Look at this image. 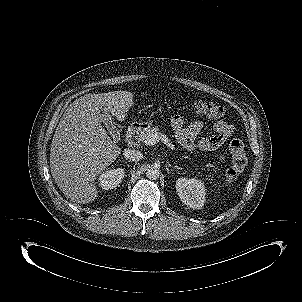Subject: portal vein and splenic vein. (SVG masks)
Listing matches in <instances>:
<instances>
[{
	"mask_svg": "<svg viewBox=\"0 0 302 302\" xmlns=\"http://www.w3.org/2000/svg\"><path fill=\"white\" fill-rule=\"evenodd\" d=\"M161 139H162V135L160 133H156V134L148 137L144 141V143H145V145L151 146V145H155L156 143H158Z\"/></svg>",
	"mask_w": 302,
	"mask_h": 302,
	"instance_id": "1",
	"label": "portal vein and splenic vein"
}]
</instances>
